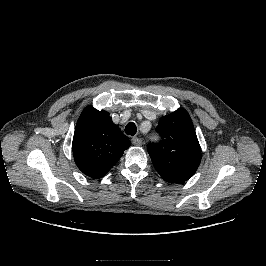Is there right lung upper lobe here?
<instances>
[{"label": "right lung upper lobe", "instance_id": "1", "mask_svg": "<svg viewBox=\"0 0 266 266\" xmlns=\"http://www.w3.org/2000/svg\"><path fill=\"white\" fill-rule=\"evenodd\" d=\"M130 140L112 122L109 113L86 107L76 124L72 150L76 165L87 176L98 179L121 158Z\"/></svg>", "mask_w": 266, "mask_h": 266}]
</instances>
